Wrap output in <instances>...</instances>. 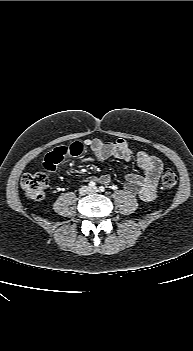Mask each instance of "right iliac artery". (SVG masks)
Listing matches in <instances>:
<instances>
[{
  "instance_id": "1",
  "label": "right iliac artery",
  "mask_w": 193,
  "mask_h": 351,
  "mask_svg": "<svg viewBox=\"0 0 193 351\" xmlns=\"http://www.w3.org/2000/svg\"><path fill=\"white\" fill-rule=\"evenodd\" d=\"M95 185H96L95 182H93V181H90V182H89V186H90V187H95Z\"/></svg>"
}]
</instances>
